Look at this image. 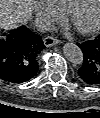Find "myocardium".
Segmentation results:
<instances>
[{
    "mask_svg": "<svg viewBox=\"0 0 100 118\" xmlns=\"http://www.w3.org/2000/svg\"><path fill=\"white\" fill-rule=\"evenodd\" d=\"M92 0H80L77 4H75L68 12H67V20L71 22L75 28L78 30L79 33L87 35L92 34L99 30L100 28V0L99 2V8L97 11L96 19L95 21L86 27H78L75 24L77 15L82 11L83 8H85Z\"/></svg>",
    "mask_w": 100,
    "mask_h": 118,
    "instance_id": "1",
    "label": "myocardium"
}]
</instances>
